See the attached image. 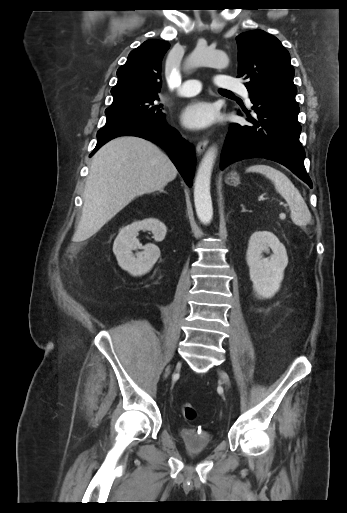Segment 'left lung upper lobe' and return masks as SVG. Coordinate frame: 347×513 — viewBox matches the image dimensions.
Returning a JSON list of instances; mask_svg holds the SVG:
<instances>
[{
  "mask_svg": "<svg viewBox=\"0 0 347 513\" xmlns=\"http://www.w3.org/2000/svg\"><path fill=\"white\" fill-rule=\"evenodd\" d=\"M236 41L238 77L246 80L249 94L296 95L289 53L276 37L253 30L241 33Z\"/></svg>",
  "mask_w": 347,
  "mask_h": 513,
  "instance_id": "obj_1",
  "label": "left lung upper lobe"
}]
</instances>
